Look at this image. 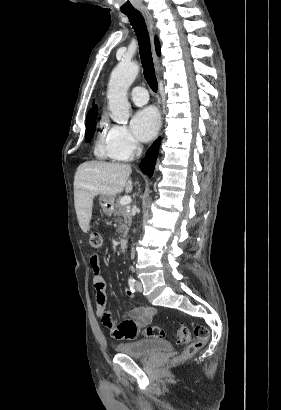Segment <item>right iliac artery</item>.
<instances>
[{"mask_svg":"<svg viewBox=\"0 0 281 410\" xmlns=\"http://www.w3.org/2000/svg\"><path fill=\"white\" fill-rule=\"evenodd\" d=\"M128 284H129L130 289L134 292L135 288H136L135 279L130 277L129 280H128Z\"/></svg>","mask_w":281,"mask_h":410,"instance_id":"obj_1","label":"right iliac artery"}]
</instances>
